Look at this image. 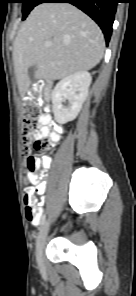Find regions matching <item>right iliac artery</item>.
<instances>
[{
	"label": "right iliac artery",
	"mask_w": 136,
	"mask_h": 296,
	"mask_svg": "<svg viewBox=\"0 0 136 296\" xmlns=\"http://www.w3.org/2000/svg\"><path fill=\"white\" fill-rule=\"evenodd\" d=\"M46 220H47V214L43 213V218L41 220L39 229H41L42 225H44L46 223Z\"/></svg>",
	"instance_id": "82829eb1"
}]
</instances>
